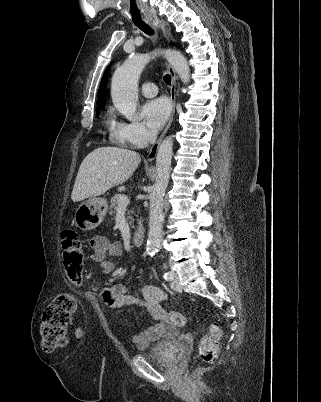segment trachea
<instances>
[{
    "label": "trachea",
    "instance_id": "obj_1",
    "mask_svg": "<svg viewBox=\"0 0 321 402\" xmlns=\"http://www.w3.org/2000/svg\"><path fill=\"white\" fill-rule=\"evenodd\" d=\"M136 26H137L140 30H142L144 33H146V34H148V35H153V33H154L153 29H152L149 25H147V24H145V23H143V24H136ZM164 81L166 82V84L170 85V84H171V76H170L169 74H166V75L164 76Z\"/></svg>",
    "mask_w": 321,
    "mask_h": 402
}]
</instances>
